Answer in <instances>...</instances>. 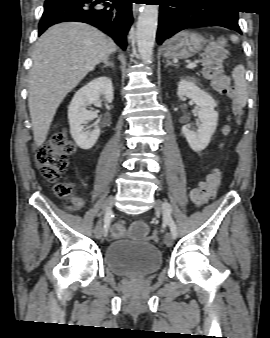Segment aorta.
<instances>
[{
    "mask_svg": "<svg viewBox=\"0 0 270 338\" xmlns=\"http://www.w3.org/2000/svg\"><path fill=\"white\" fill-rule=\"evenodd\" d=\"M158 23L157 5L143 4L137 22V47L143 62L151 64Z\"/></svg>",
    "mask_w": 270,
    "mask_h": 338,
    "instance_id": "aorta-1",
    "label": "aorta"
}]
</instances>
